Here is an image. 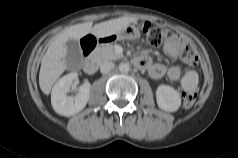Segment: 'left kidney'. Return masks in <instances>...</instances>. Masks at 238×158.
Returning a JSON list of instances; mask_svg holds the SVG:
<instances>
[{"mask_svg": "<svg viewBox=\"0 0 238 158\" xmlns=\"http://www.w3.org/2000/svg\"><path fill=\"white\" fill-rule=\"evenodd\" d=\"M157 105L162 110L175 112L181 105L180 94L171 86L159 85L156 90Z\"/></svg>", "mask_w": 238, "mask_h": 158, "instance_id": "5707ae66", "label": "left kidney"}]
</instances>
